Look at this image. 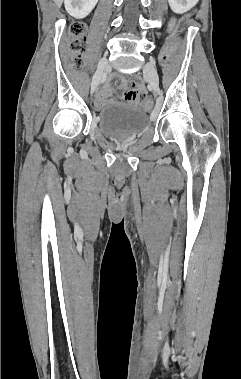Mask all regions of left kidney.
<instances>
[{
	"mask_svg": "<svg viewBox=\"0 0 241 379\" xmlns=\"http://www.w3.org/2000/svg\"><path fill=\"white\" fill-rule=\"evenodd\" d=\"M199 0H168L173 12L182 14L193 8Z\"/></svg>",
	"mask_w": 241,
	"mask_h": 379,
	"instance_id": "obj_1",
	"label": "left kidney"
}]
</instances>
